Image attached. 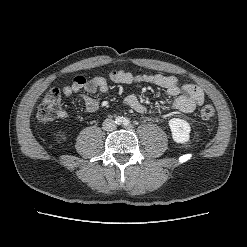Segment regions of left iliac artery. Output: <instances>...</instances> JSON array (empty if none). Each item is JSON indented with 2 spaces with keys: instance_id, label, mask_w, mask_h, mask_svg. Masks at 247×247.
Masks as SVG:
<instances>
[{
  "instance_id": "obj_1",
  "label": "left iliac artery",
  "mask_w": 247,
  "mask_h": 247,
  "mask_svg": "<svg viewBox=\"0 0 247 247\" xmlns=\"http://www.w3.org/2000/svg\"><path fill=\"white\" fill-rule=\"evenodd\" d=\"M129 124H130V120L127 119V118H124V120H123V125H124V126H128Z\"/></svg>"
}]
</instances>
